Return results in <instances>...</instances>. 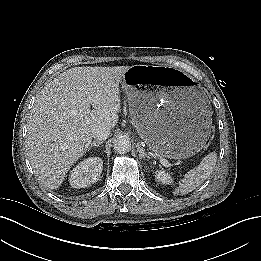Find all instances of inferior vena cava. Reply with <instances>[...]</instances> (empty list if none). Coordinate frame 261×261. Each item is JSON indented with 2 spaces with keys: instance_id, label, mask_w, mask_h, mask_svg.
I'll use <instances>...</instances> for the list:
<instances>
[{
  "instance_id": "inferior-vena-cava-1",
  "label": "inferior vena cava",
  "mask_w": 261,
  "mask_h": 261,
  "mask_svg": "<svg viewBox=\"0 0 261 261\" xmlns=\"http://www.w3.org/2000/svg\"><path fill=\"white\" fill-rule=\"evenodd\" d=\"M93 138L102 141L108 138L110 135V128L105 125H99L93 129Z\"/></svg>"
}]
</instances>
